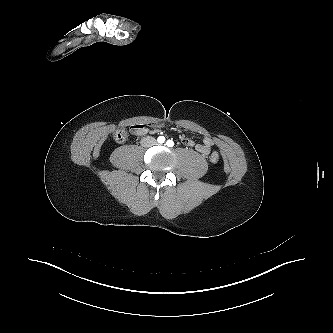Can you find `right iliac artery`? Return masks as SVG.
Masks as SVG:
<instances>
[{
  "mask_svg": "<svg viewBox=\"0 0 333 333\" xmlns=\"http://www.w3.org/2000/svg\"><path fill=\"white\" fill-rule=\"evenodd\" d=\"M157 141H158L160 144H162V143L165 142V137H164V136H159L158 139H157Z\"/></svg>",
  "mask_w": 333,
  "mask_h": 333,
  "instance_id": "1",
  "label": "right iliac artery"
}]
</instances>
